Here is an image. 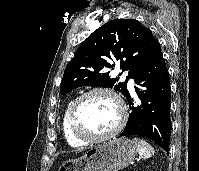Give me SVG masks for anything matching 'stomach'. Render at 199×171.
Masks as SVG:
<instances>
[{
    "instance_id": "obj_1",
    "label": "stomach",
    "mask_w": 199,
    "mask_h": 171,
    "mask_svg": "<svg viewBox=\"0 0 199 171\" xmlns=\"http://www.w3.org/2000/svg\"><path fill=\"white\" fill-rule=\"evenodd\" d=\"M136 156V146L128 138H115L88 150L82 157L63 162L58 171H119Z\"/></svg>"
}]
</instances>
